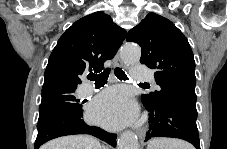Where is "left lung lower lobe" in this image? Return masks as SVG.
<instances>
[{
	"label": "left lung lower lobe",
	"mask_w": 227,
	"mask_h": 149,
	"mask_svg": "<svg viewBox=\"0 0 227 149\" xmlns=\"http://www.w3.org/2000/svg\"><path fill=\"white\" fill-rule=\"evenodd\" d=\"M142 102L149 112V131L145 141L154 137L179 138L200 149L196 106L177 100L158 104L142 98Z\"/></svg>",
	"instance_id": "obj_1"
}]
</instances>
